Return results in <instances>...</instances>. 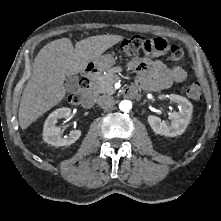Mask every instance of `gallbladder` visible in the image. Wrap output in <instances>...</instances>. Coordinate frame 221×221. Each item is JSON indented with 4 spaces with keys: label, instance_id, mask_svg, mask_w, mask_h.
Here are the masks:
<instances>
[{
    "label": "gallbladder",
    "instance_id": "bac80fb5",
    "mask_svg": "<svg viewBox=\"0 0 221 221\" xmlns=\"http://www.w3.org/2000/svg\"><path fill=\"white\" fill-rule=\"evenodd\" d=\"M78 78L76 76L70 75L66 77L64 87L67 91L72 90L77 85Z\"/></svg>",
    "mask_w": 221,
    "mask_h": 221
}]
</instances>
